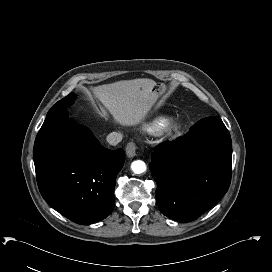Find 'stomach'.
Segmentation results:
<instances>
[{"label":"stomach","instance_id":"obj_1","mask_svg":"<svg viewBox=\"0 0 272 272\" xmlns=\"http://www.w3.org/2000/svg\"><path fill=\"white\" fill-rule=\"evenodd\" d=\"M163 86L161 84H156L152 88V93L154 94L153 102L158 101L163 95Z\"/></svg>","mask_w":272,"mask_h":272}]
</instances>
